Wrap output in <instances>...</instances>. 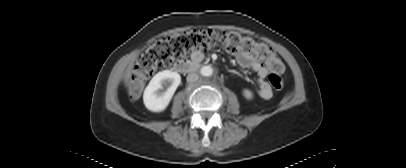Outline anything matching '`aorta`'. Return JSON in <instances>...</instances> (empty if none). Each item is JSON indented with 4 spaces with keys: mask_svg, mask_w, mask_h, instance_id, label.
Returning <instances> with one entry per match:
<instances>
[{
    "mask_svg": "<svg viewBox=\"0 0 406 168\" xmlns=\"http://www.w3.org/2000/svg\"><path fill=\"white\" fill-rule=\"evenodd\" d=\"M200 73L202 76L208 77L211 76L213 74V69L210 66H203L200 69Z\"/></svg>",
    "mask_w": 406,
    "mask_h": 168,
    "instance_id": "aorta-1",
    "label": "aorta"
}]
</instances>
